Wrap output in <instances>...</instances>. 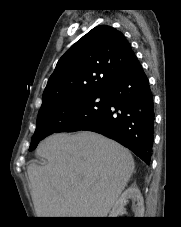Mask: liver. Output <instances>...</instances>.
I'll return each instance as SVG.
<instances>
[{
	"label": "liver",
	"mask_w": 181,
	"mask_h": 227,
	"mask_svg": "<svg viewBox=\"0 0 181 227\" xmlns=\"http://www.w3.org/2000/svg\"><path fill=\"white\" fill-rule=\"evenodd\" d=\"M36 153L47 160L27 170L38 217H106L135 168L128 149L88 131L49 136Z\"/></svg>",
	"instance_id": "1"
}]
</instances>
